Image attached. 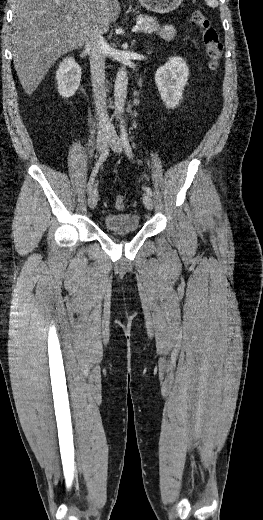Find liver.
<instances>
[{"label": "liver", "instance_id": "6515ba94", "mask_svg": "<svg viewBox=\"0 0 263 520\" xmlns=\"http://www.w3.org/2000/svg\"><path fill=\"white\" fill-rule=\"evenodd\" d=\"M120 11L118 0H14L13 59L26 94L58 58L86 44L93 27L108 31Z\"/></svg>", "mask_w": 263, "mask_h": 520}]
</instances>
